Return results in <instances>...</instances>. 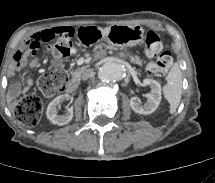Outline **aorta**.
<instances>
[{
	"label": "aorta",
	"instance_id": "1",
	"mask_svg": "<svg viewBox=\"0 0 215 183\" xmlns=\"http://www.w3.org/2000/svg\"><path fill=\"white\" fill-rule=\"evenodd\" d=\"M125 75V67L114 62L105 63L98 70V78L104 82L119 81L124 78Z\"/></svg>",
	"mask_w": 215,
	"mask_h": 183
}]
</instances>
